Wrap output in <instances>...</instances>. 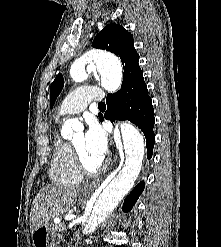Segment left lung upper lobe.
<instances>
[{
	"label": "left lung upper lobe",
	"instance_id": "5c2ea615",
	"mask_svg": "<svg viewBox=\"0 0 221 247\" xmlns=\"http://www.w3.org/2000/svg\"><path fill=\"white\" fill-rule=\"evenodd\" d=\"M94 48L110 51L120 57L123 68V83L117 92L127 95L132 88H146L143 72L138 64L139 55L134 48L133 35L123 26L110 23L100 31L93 40ZM64 80L62 74H58L50 87V107L52 108L58 95L63 89Z\"/></svg>",
	"mask_w": 221,
	"mask_h": 247
}]
</instances>
